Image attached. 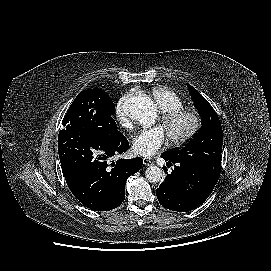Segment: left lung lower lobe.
<instances>
[{"mask_svg": "<svg viewBox=\"0 0 271 271\" xmlns=\"http://www.w3.org/2000/svg\"><path fill=\"white\" fill-rule=\"evenodd\" d=\"M161 157L168 161V165H176L156 190L159 203L178 212H187L200 206L209 197L218 179L194 166L174 161L167 153ZM164 170L167 172V168Z\"/></svg>", "mask_w": 271, "mask_h": 271, "instance_id": "left-lung-lower-lobe-1", "label": "left lung lower lobe"}]
</instances>
